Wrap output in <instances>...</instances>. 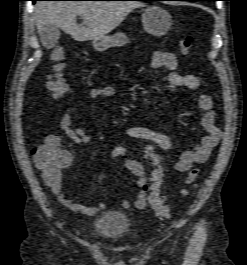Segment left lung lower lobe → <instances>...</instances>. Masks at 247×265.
<instances>
[{"instance_id": "1", "label": "left lung lower lobe", "mask_w": 247, "mask_h": 265, "mask_svg": "<svg viewBox=\"0 0 247 265\" xmlns=\"http://www.w3.org/2000/svg\"><path fill=\"white\" fill-rule=\"evenodd\" d=\"M143 1H165V0H143ZM168 1H202V0H168Z\"/></svg>"}]
</instances>
